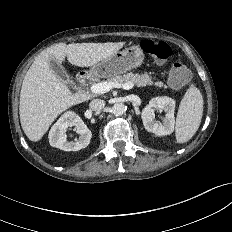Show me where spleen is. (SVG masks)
Instances as JSON below:
<instances>
[{
	"mask_svg": "<svg viewBox=\"0 0 232 232\" xmlns=\"http://www.w3.org/2000/svg\"><path fill=\"white\" fill-rule=\"evenodd\" d=\"M203 114V97L201 92L191 86L181 100L176 118V140L185 143L199 128Z\"/></svg>",
	"mask_w": 232,
	"mask_h": 232,
	"instance_id": "obj_1",
	"label": "spleen"
}]
</instances>
